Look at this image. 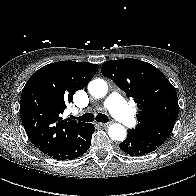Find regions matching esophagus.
Listing matches in <instances>:
<instances>
[{"label": "esophagus", "mask_w": 196, "mask_h": 196, "mask_svg": "<svg viewBox=\"0 0 196 196\" xmlns=\"http://www.w3.org/2000/svg\"><path fill=\"white\" fill-rule=\"evenodd\" d=\"M98 125L101 127H107L110 125V123H98Z\"/></svg>", "instance_id": "1"}]
</instances>
